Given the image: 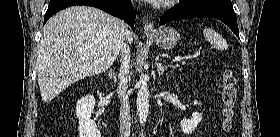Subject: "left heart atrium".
Segmentation results:
<instances>
[{
    "instance_id": "1",
    "label": "left heart atrium",
    "mask_w": 280,
    "mask_h": 137,
    "mask_svg": "<svg viewBox=\"0 0 280 137\" xmlns=\"http://www.w3.org/2000/svg\"><path fill=\"white\" fill-rule=\"evenodd\" d=\"M149 1L154 5H159V4H164L169 2V0H149Z\"/></svg>"
}]
</instances>
